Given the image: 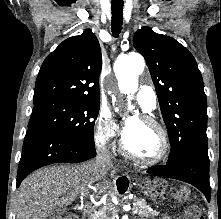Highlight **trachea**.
Here are the masks:
<instances>
[{
	"mask_svg": "<svg viewBox=\"0 0 221 219\" xmlns=\"http://www.w3.org/2000/svg\"><path fill=\"white\" fill-rule=\"evenodd\" d=\"M112 20H111V32L113 37H119L123 25V3L111 4Z\"/></svg>",
	"mask_w": 221,
	"mask_h": 219,
	"instance_id": "3493384b",
	"label": "trachea"
}]
</instances>
